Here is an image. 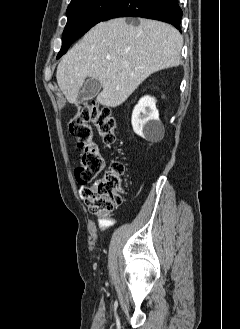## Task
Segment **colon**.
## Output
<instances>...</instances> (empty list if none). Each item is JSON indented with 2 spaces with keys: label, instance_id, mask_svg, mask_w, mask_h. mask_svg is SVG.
<instances>
[{
  "label": "colon",
  "instance_id": "obj_1",
  "mask_svg": "<svg viewBox=\"0 0 240 329\" xmlns=\"http://www.w3.org/2000/svg\"><path fill=\"white\" fill-rule=\"evenodd\" d=\"M93 123L105 143H116V118L113 111L96 101L78 106L76 115L69 124L71 135L80 148V164L75 169L79 184L92 183L84 190L83 198L88 210L101 218L109 216L123 201V177L125 163L117 160L100 176L104 163L97 145L93 142Z\"/></svg>",
  "mask_w": 240,
  "mask_h": 329
}]
</instances>
